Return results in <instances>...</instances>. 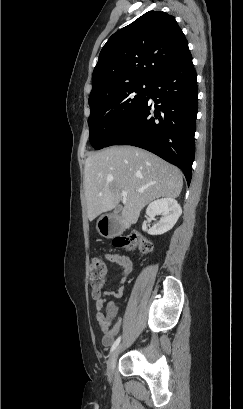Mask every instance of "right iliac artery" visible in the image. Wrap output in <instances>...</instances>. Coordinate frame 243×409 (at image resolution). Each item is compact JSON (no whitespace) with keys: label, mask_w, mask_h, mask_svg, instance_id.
Returning <instances> with one entry per match:
<instances>
[{"label":"right iliac artery","mask_w":243,"mask_h":409,"mask_svg":"<svg viewBox=\"0 0 243 409\" xmlns=\"http://www.w3.org/2000/svg\"><path fill=\"white\" fill-rule=\"evenodd\" d=\"M120 340H121V337H118V338L116 339V341L113 343V345H112V347H111L110 352H113V351L117 348V346H118L119 343H120Z\"/></svg>","instance_id":"obj_1"}]
</instances>
